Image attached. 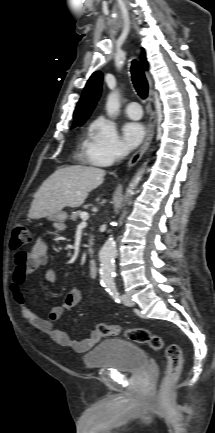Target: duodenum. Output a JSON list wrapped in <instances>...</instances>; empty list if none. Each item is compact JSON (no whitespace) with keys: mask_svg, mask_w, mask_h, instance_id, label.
<instances>
[{"mask_svg":"<svg viewBox=\"0 0 215 433\" xmlns=\"http://www.w3.org/2000/svg\"><path fill=\"white\" fill-rule=\"evenodd\" d=\"M88 269H89V273H90L91 277H93V278L98 277V274H99L98 266H97V263L95 261L90 260L88 262Z\"/></svg>","mask_w":215,"mask_h":433,"instance_id":"1","label":"duodenum"}]
</instances>
